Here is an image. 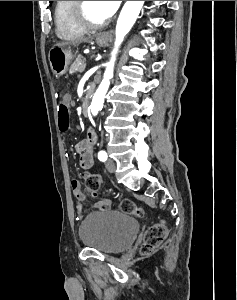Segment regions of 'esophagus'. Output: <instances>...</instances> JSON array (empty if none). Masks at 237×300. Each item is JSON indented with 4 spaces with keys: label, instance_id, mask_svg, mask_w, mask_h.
<instances>
[{
    "label": "esophagus",
    "instance_id": "esophagus-1",
    "mask_svg": "<svg viewBox=\"0 0 237 300\" xmlns=\"http://www.w3.org/2000/svg\"><path fill=\"white\" fill-rule=\"evenodd\" d=\"M109 38V35L107 33H100L97 35V39H101V40H104V39H107Z\"/></svg>",
    "mask_w": 237,
    "mask_h": 300
}]
</instances>
